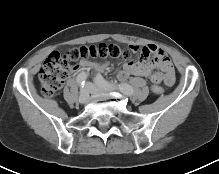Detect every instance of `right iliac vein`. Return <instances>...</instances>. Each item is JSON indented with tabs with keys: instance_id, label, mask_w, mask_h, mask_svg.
<instances>
[{
	"instance_id": "1",
	"label": "right iliac vein",
	"mask_w": 219,
	"mask_h": 174,
	"mask_svg": "<svg viewBox=\"0 0 219 174\" xmlns=\"http://www.w3.org/2000/svg\"><path fill=\"white\" fill-rule=\"evenodd\" d=\"M89 94H90L89 89L87 87L83 88L79 95V102L82 104L86 103L89 99Z\"/></svg>"
}]
</instances>
